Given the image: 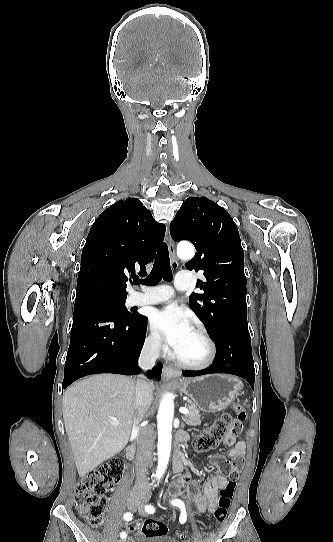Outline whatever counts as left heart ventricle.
Listing matches in <instances>:
<instances>
[{
    "label": "left heart ventricle",
    "mask_w": 333,
    "mask_h": 542,
    "mask_svg": "<svg viewBox=\"0 0 333 542\" xmlns=\"http://www.w3.org/2000/svg\"><path fill=\"white\" fill-rule=\"evenodd\" d=\"M171 353L180 360L197 363L206 359L208 350L205 342L193 329Z\"/></svg>",
    "instance_id": "left-heart-ventricle-1"
}]
</instances>
